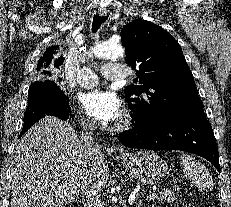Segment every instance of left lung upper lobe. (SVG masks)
<instances>
[{
    "mask_svg": "<svg viewBox=\"0 0 231 207\" xmlns=\"http://www.w3.org/2000/svg\"><path fill=\"white\" fill-rule=\"evenodd\" d=\"M121 41L126 62L137 68L135 83L125 88L133 121L155 124L176 113L203 107L192 72L178 42L145 20L124 26Z\"/></svg>",
    "mask_w": 231,
    "mask_h": 207,
    "instance_id": "1",
    "label": "left lung upper lobe"
}]
</instances>
